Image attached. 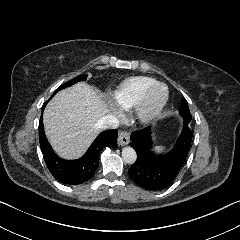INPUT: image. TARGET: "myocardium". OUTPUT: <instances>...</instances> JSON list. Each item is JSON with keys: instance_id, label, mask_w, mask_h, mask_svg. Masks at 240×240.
<instances>
[{"instance_id": "f54148a6", "label": "myocardium", "mask_w": 240, "mask_h": 240, "mask_svg": "<svg viewBox=\"0 0 240 240\" xmlns=\"http://www.w3.org/2000/svg\"><path fill=\"white\" fill-rule=\"evenodd\" d=\"M161 89L160 97L155 98L157 90ZM169 98L168 87L163 83H156L149 88L136 106L134 119L138 125L147 126L158 118Z\"/></svg>"}]
</instances>
